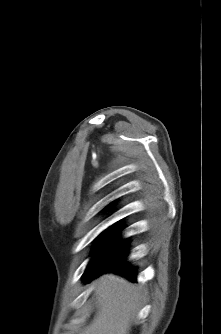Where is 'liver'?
Segmentation results:
<instances>
[{
    "label": "liver",
    "mask_w": 221,
    "mask_h": 334,
    "mask_svg": "<svg viewBox=\"0 0 221 334\" xmlns=\"http://www.w3.org/2000/svg\"><path fill=\"white\" fill-rule=\"evenodd\" d=\"M99 307L81 334H129L141 298L137 287L115 274H105L96 283Z\"/></svg>",
    "instance_id": "liver-1"
}]
</instances>
